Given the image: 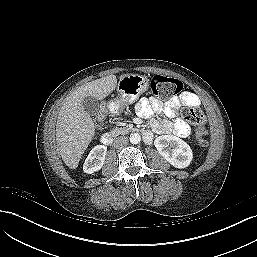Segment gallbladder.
<instances>
[{"label":"gallbladder","instance_id":"bac80fb5","mask_svg":"<svg viewBox=\"0 0 257 257\" xmlns=\"http://www.w3.org/2000/svg\"><path fill=\"white\" fill-rule=\"evenodd\" d=\"M84 110L91 116H95L99 113V101L95 97L88 96L82 101Z\"/></svg>","mask_w":257,"mask_h":257}]
</instances>
